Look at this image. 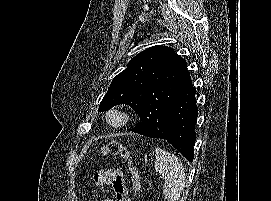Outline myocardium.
<instances>
[{"instance_id":"f54148a6","label":"myocardium","mask_w":271,"mask_h":201,"mask_svg":"<svg viewBox=\"0 0 271 201\" xmlns=\"http://www.w3.org/2000/svg\"><path fill=\"white\" fill-rule=\"evenodd\" d=\"M105 120L109 126L113 128H121L128 124L130 121V115L126 109L115 106L106 112Z\"/></svg>"}]
</instances>
